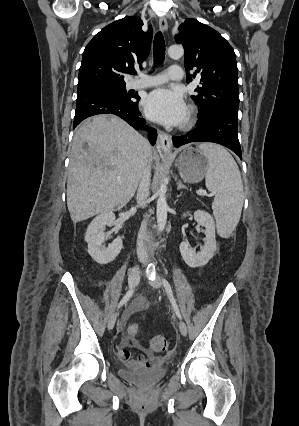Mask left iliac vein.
I'll return each instance as SVG.
<instances>
[{
  "label": "left iliac vein",
  "mask_w": 299,
  "mask_h": 426,
  "mask_svg": "<svg viewBox=\"0 0 299 426\" xmlns=\"http://www.w3.org/2000/svg\"><path fill=\"white\" fill-rule=\"evenodd\" d=\"M149 283L154 288H160V287H162V281H161L160 277H158V276H156L153 279H151L149 281ZM179 330H180V333L183 336L187 335V326H186V324L183 321H179Z\"/></svg>",
  "instance_id": "obj_1"
}]
</instances>
